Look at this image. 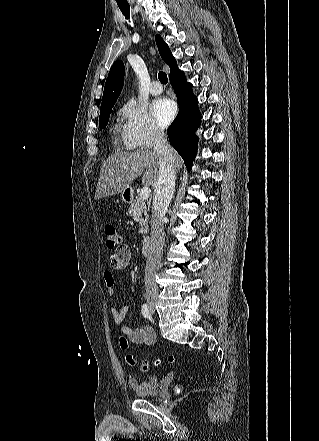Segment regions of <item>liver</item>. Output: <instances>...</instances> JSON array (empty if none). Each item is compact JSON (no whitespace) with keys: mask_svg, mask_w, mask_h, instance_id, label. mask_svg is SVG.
<instances>
[{"mask_svg":"<svg viewBox=\"0 0 319 441\" xmlns=\"http://www.w3.org/2000/svg\"><path fill=\"white\" fill-rule=\"evenodd\" d=\"M175 169L183 167V160L174 151ZM142 183L155 188L159 177L158 157L150 151L120 153L110 156L102 165L96 187L95 199L119 194L130 187L133 180L141 176Z\"/></svg>","mask_w":319,"mask_h":441,"instance_id":"6515ba94","label":"liver"}]
</instances>
